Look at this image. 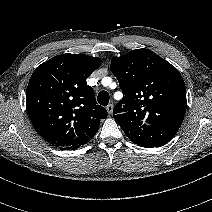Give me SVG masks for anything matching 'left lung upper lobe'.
Returning a JSON list of instances; mask_svg holds the SVG:
<instances>
[{"instance_id": "5c2ea615", "label": "left lung upper lobe", "mask_w": 212, "mask_h": 212, "mask_svg": "<svg viewBox=\"0 0 212 212\" xmlns=\"http://www.w3.org/2000/svg\"><path fill=\"white\" fill-rule=\"evenodd\" d=\"M110 68L123 98L113 110L124 132L143 125L180 127L186 112V88L179 71L148 49L113 57Z\"/></svg>"}]
</instances>
